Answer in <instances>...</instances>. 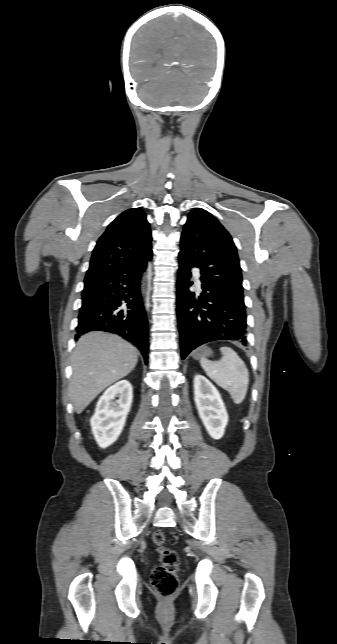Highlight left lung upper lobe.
I'll use <instances>...</instances> for the list:
<instances>
[{"label":"left lung upper lobe","instance_id":"5c2ea615","mask_svg":"<svg viewBox=\"0 0 337 644\" xmlns=\"http://www.w3.org/2000/svg\"><path fill=\"white\" fill-rule=\"evenodd\" d=\"M179 259L244 305L242 274L230 234L209 212L192 210L181 235Z\"/></svg>","mask_w":337,"mask_h":644}]
</instances>
